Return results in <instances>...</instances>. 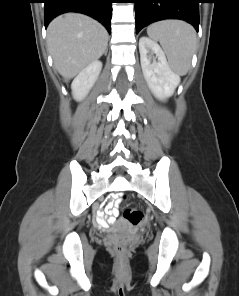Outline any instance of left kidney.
<instances>
[{"label":"left kidney","mask_w":239,"mask_h":296,"mask_svg":"<svg viewBox=\"0 0 239 296\" xmlns=\"http://www.w3.org/2000/svg\"><path fill=\"white\" fill-rule=\"evenodd\" d=\"M139 52L142 72L152 93L160 100L171 97L180 77L171 70L161 47L143 36L139 40ZM148 54H155L158 61H151L152 56Z\"/></svg>","instance_id":"5707ae66"}]
</instances>
